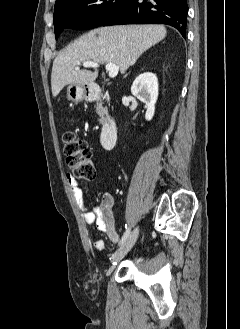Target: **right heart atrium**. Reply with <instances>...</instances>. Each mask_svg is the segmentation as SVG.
I'll use <instances>...</instances> for the list:
<instances>
[{
    "label": "right heart atrium",
    "instance_id": "obj_1",
    "mask_svg": "<svg viewBox=\"0 0 240 329\" xmlns=\"http://www.w3.org/2000/svg\"><path fill=\"white\" fill-rule=\"evenodd\" d=\"M100 12H101V6L99 4H95L91 9V13L94 15H97Z\"/></svg>",
    "mask_w": 240,
    "mask_h": 329
}]
</instances>
